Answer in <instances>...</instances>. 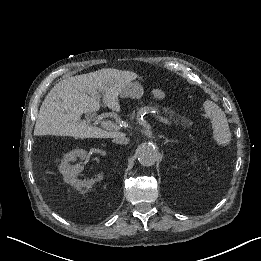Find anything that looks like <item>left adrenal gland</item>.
<instances>
[{
  "instance_id": "1",
  "label": "left adrenal gland",
  "mask_w": 261,
  "mask_h": 261,
  "mask_svg": "<svg viewBox=\"0 0 261 261\" xmlns=\"http://www.w3.org/2000/svg\"><path fill=\"white\" fill-rule=\"evenodd\" d=\"M160 138H163L165 140V144H168V143H173V141L169 140L167 137H165L164 135H160L159 136Z\"/></svg>"
}]
</instances>
